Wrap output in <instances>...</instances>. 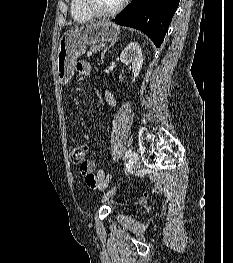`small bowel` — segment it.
Listing matches in <instances>:
<instances>
[{
  "label": "small bowel",
  "instance_id": "c3829d8e",
  "mask_svg": "<svg viewBox=\"0 0 233 263\" xmlns=\"http://www.w3.org/2000/svg\"><path fill=\"white\" fill-rule=\"evenodd\" d=\"M76 71L81 76H88L91 72V66L88 62L81 61L76 65ZM106 100L111 106L116 105V100L113 98V96L110 93H106ZM80 171L82 175L85 177V172H88L96 177V183L94 185H89L86 181L88 186L94 189H105L106 188V181L104 180V171L99 170L97 173H95V163L92 159H88L86 161L85 168H80Z\"/></svg>",
  "mask_w": 233,
  "mask_h": 263
}]
</instances>
